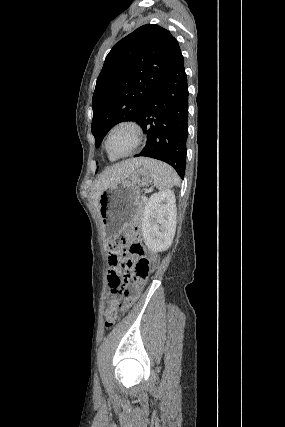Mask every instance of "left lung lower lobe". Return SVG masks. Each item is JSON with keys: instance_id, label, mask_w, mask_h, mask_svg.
I'll list each match as a JSON object with an SVG mask.
<instances>
[{"instance_id": "left-lung-lower-lobe-1", "label": "left lung lower lobe", "mask_w": 285, "mask_h": 427, "mask_svg": "<svg viewBox=\"0 0 285 427\" xmlns=\"http://www.w3.org/2000/svg\"><path fill=\"white\" fill-rule=\"evenodd\" d=\"M188 84L184 57L179 55L144 106L137 120L147 134L146 146L135 157L170 164L183 179L188 137Z\"/></svg>"}]
</instances>
